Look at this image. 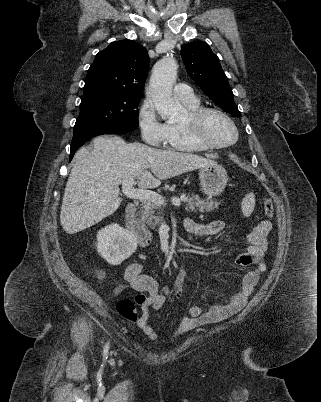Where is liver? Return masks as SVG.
<instances>
[{"label":"liver","instance_id":"liver-1","mask_svg":"<svg viewBox=\"0 0 321 402\" xmlns=\"http://www.w3.org/2000/svg\"><path fill=\"white\" fill-rule=\"evenodd\" d=\"M217 163L202 156L126 143L103 135L75 155L60 213L64 231L75 234L113 214L121 205L119 185L137 179L140 188H155L161 180Z\"/></svg>","mask_w":321,"mask_h":402}]
</instances>
